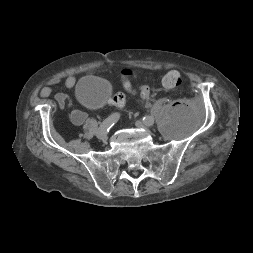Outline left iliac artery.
I'll list each match as a JSON object with an SVG mask.
<instances>
[{
	"mask_svg": "<svg viewBox=\"0 0 253 253\" xmlns=\"http://www.w3.org/2000/svg\"><path fill=\"white\" fill-rule=\"evenodd\" d=\"M143 122L145 124H147L148 126H152L154 124L153 117H151V116H144L143 117Z\"/></svg>",
	"mask_w": 253,
	"mask_h": 253,
	"instance_id": "obj_1",
	"label": "left iliac artery"
}]
</instances>
